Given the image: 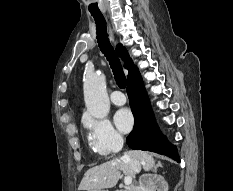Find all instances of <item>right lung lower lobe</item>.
<instances>
[{
  "instance_id": "98d812e1",
  "label": "right lung lower lobe",
  "mask_w": 233,
  "mask_h": 191,
  "mask_svg": "<svg viewBox=\"0 0 233 191\" xmlns=\"http://www.w3.org/2000/svg\"><path fill=\"white\" fill-rule=\"evenodd\" d=\"M127 93L135 117L134 128L126 139L128 146L163 154L180 162L176 146L168 143L159 131L137 67L128 76Z\"/></svg>"
}]
</instances>
